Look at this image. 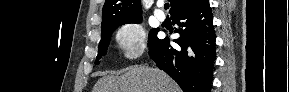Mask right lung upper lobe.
<instances>
[{"instance_id": "cb5924a9", "label": "right lung upper lobe", "mask_w": 289, "mask_h": 92, "mask_svg": "<svg viewBox=\"0 0 289 92\" xmlns=\"http://www.w3.org/2000/svg\"><path fill=\"white\" fill-rule=\"evenodd\" d=\"M201 0H170V15L197 5ZM140 0H106L102 9L101 30L122 22L141 19Z\"/></svg>"}]
</instances>
